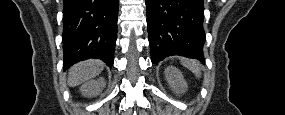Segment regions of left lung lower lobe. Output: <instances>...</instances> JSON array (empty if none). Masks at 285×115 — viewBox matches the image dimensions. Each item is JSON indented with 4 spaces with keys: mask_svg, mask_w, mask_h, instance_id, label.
<instances>
[{
    "mask_svg": "<svg viewBox=\"0 0 285 115\" xmlns=\"http://www.w3.org/2000/svg\"><path fill=\"white\" fill-rule=\"evenodd\" d=\"M151 61L172 55L204 62L203 0H146Z\"/></svg>",
    "mask_w": 285,
    "mask_h": 115,
    "instance_id": "0a47b994",
    "label": "left lung lower lobe"
}]
</instances>
